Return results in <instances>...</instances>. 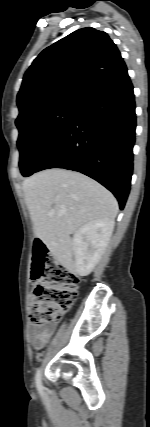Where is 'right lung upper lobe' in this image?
Segmentation results:
<instances>
[{
	"mask_svg": "<svg viewBox=\"0 0 150 427\" xmlns=\"http://www.w3.org/2000/svg\"><path fill=\"white\" fill-rule=\"evenodd\" d=\"M126 71L105 32L79 29L43 50L26 71L17 95L18 118L44 106H79Z\"/></svg>",
	"mask_w": 150,
	"mask_h": 427,
	"instance_id": "1",
	"label": "right lung upper lobe"
}]
</instances>
